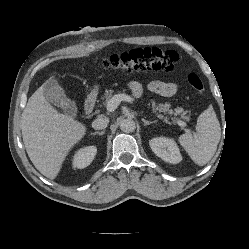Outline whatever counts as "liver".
<instances>
[{
	"label": "liver",
	"instance_id": "obj_1",
	"mask_svg": "<svg viewBox=\"0 0 249 249\" xmlns=\"http://www.w3.org/2000/svg\"><path fill=\"white\" fill-rule=\"evenodd\" d=\"M44 84L28 99L21 117V130L33 165L41 174L54 179L68 152L84 137L86 127L48 103L43 94Z\"/></svg>",
	"mask_w": 249,
	"mask_h": 249
}]
</instances>
